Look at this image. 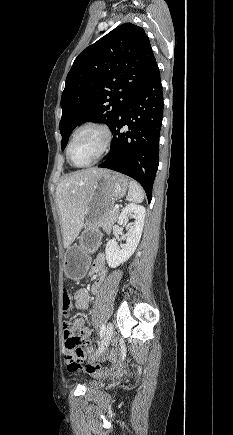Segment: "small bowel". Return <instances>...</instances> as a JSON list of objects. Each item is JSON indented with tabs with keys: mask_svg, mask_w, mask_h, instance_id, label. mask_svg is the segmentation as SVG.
<instances>
[{
	"mask_svg": "<svg viewBox=\"0 0 233 435\" xmlns=\"http://www.w3.org/2000/svg\"><path fill=\"white\" fill-rule=\"evenodd\" d=\"M90 276L93 279V283L90 288H79L75 291L73 295V300L75 306L79 310H84L89 306L91 295L90 293L99 292L100 288L104 284L106 280V265H105V257L103 254H99L90 270ZM67 324H71L77 326L82 334V337L85 341H88L91 336V329L86 325V321L83 318L76 317L72 319L70 322L65 321L64 327ZM83 355L89 352V348L86 346L82 349ZM92 373H96V370H93Z\"/></svg>",
	"mask_w": 233,
	"mask_h": 435,
	"instance_id": "c3829d8e",
	"label": "small bowel"
}]
</instances>
